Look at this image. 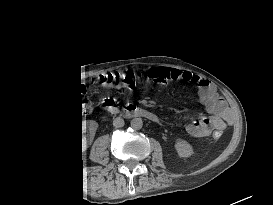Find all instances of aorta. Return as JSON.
Masks as SVG:
<instances>
[{
    "label": "aorta",
    "instance_id": "obj_1",
    "mask_svg": "<svg viewBox=\"0 0 273 205\" xmlns=\"http://www.w3.org/2000/svg\"><path fill=\"white\" fill-rule=\"evenodd\" d=\"M130 124L134 130H140L143 126V121L141 118H133Z\"/></svg>",
    "mask_w": 273,
    "mask_h": 205
}]
</instances>
